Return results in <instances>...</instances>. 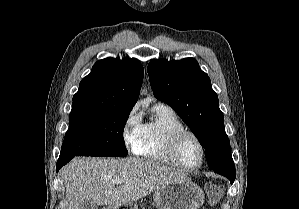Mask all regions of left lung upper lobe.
<instances>
[{
    "label": "left lung upper lobe",
    "mask_w": 299,
    "mask_h": 209,
    "mask_svg": "<svg viewBox=\"0 0 299 209\" xmlns=\"http://www.w3.org/2000/svg\"><path fill=\"white\" fill-rule=\"evenodd\" d=\"M154 96L170 105L205 149L209 168L231 157L217 94L193 58L152 60L147 67Z\"/></svg>",
    "instance_id": "obj_1"
}]
</instances>
